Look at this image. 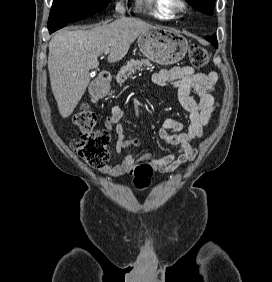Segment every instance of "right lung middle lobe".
<instances>
[{
  "label": "right lung middle lobe",
  "instance_id": "obj_1",
  "mask_svg": "<svg viewBox=\"0 0 272 282\" xmlns=\"http://www.w3.org/2000/svg\"><path fill=\"white\" fill-rule=\"evenodd\" d=\"M111 0H54L48 25L84 14H95L104 10Z\"/></svg>",
  "mask_w": 272,
  "mask_h": 282
}]
</instances>
